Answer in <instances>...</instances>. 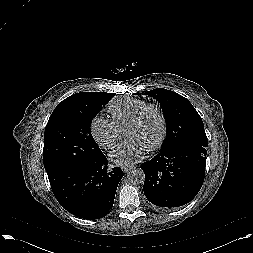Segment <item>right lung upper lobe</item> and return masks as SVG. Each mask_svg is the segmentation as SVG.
I'll return each mask as SVG.
<instances>
[{"label":"right lung upper lobe","instance_id":"right-lung-upper-lobe-1","mask_svg":"<svg viewBox=\"0 0 253 253\" xmlns=\"http://www.w3.org/2000/svg\"><path fill=\"white\" fill-rule=\"evenodd\" d=\"M85 93H88V92L76 93V94H74V95H72V96H70V97L78 96V95H84ZM70 97H69V98H70Z\"/></svg>","mask_w":253,"mask_h":253}]
</instances>
